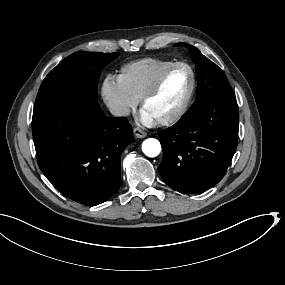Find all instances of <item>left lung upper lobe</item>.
Returning <instances> with one entry per match:
<instances>
[{
	"label": "left lung upper lobe",
	"mask_w": 285,
	"mask_h": 285,
	"mask_svg": "<svg viewBox=\"0 0 285 285\" xmlns=\"http://www.w3.org/2000/svg\"><path fill=\"white\" fill-rule=\"evenodd\" d=\"M179 45L189 48L191 58L196 66L198 89L197 99L193 105L215 97L235 96L225 74L216 64L202 55L194 46L187 43L176 44V46Z\"/></svg>",
	"instance_id": "left-lung-upper-lobe-1"
}]
</instances>
